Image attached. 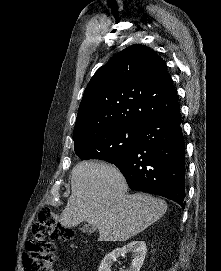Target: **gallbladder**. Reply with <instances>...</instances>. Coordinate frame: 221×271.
Listing matches in <instances>:
<instances>
[{
    "mask_svg": "<svg viewBox=\"0 0 221 271\" xmlns=\"http://www.w3.org/2000/svg\"><path fill=\"white\" fill-rule=\"evenodd\" d=\"M80 229L83 233H93V231H96L97 227H95V225H90V223H86V225H82Z\"/></svg>",
    "mask_w": 221,
    "mask_h": 271,
    "instance_id": "gallbladder-1",
    "label": "gallbladder"
}]
</instances>
